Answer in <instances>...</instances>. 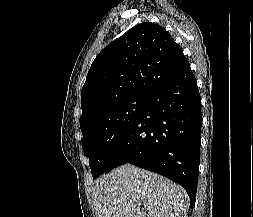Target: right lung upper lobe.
I'll return each instance as SVG.
<instances>
[{
  "mask_svg": "<svg viewBox=\"0 0 253 217\" xmlns=\"http://www.w3.org/2000/svg\"><path fill=\"white\" fill-rule=\"evenodd\" d=\"M188 60L165 28L138 24L105 47L82 87L80 125L100 110L133 97H148Z\"/></svg>",
  "mask_w": 253,
  "mask_h": 217,
  "instance_id": "right-lung-upper-lobe-1",
  "label": "right lung upper lobe"
}]
</instances>
